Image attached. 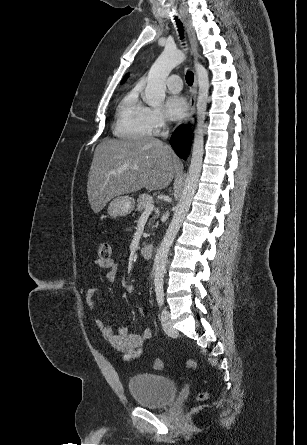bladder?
Listing matches in <instances>:
<instances>
[{"label":"bladder","instance_id":"bladder-1","mask_svg":"<svg viewBox=\"0 0 307 445\" xmlns=\"http://www.w3.org/2000/svg\"><path fill=\"white\" fill-rule=\"evenodd\" d=\"M128 389L138 406L149 409L166 407L174 400L178 392L175 381L152 373L132 376L128 381Z\"/></svg>","mask_w":307,"mask_h":445}]
</instances>
